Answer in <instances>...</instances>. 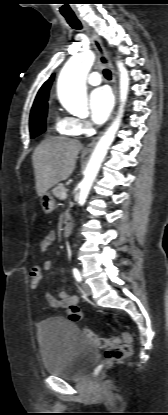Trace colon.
Masks as SVG:
<instances>
[{"instance_id": "colon-1", "label": "colon", "mask_w": 168, "mask_h": 415, "mask_svg": "<svg viewBox=\"0 0 168 415\" xmlns=\"http://www.w3.org/2000/svg\"><path fill=\"white\" fill-rule=\"evenodd\" d=\"M41 268L42 265L40 262H33L28 269V276L30 277V290L33 293L39 292L40 283L44 281ZM84 334L92 343L104 349L103 361L94 369L95 376H98L104 367L124 359L132 351V339L128 333L123 335L125 343H122L119 336L101 337L90 329H85Z\"/></svg>"}]
</instances>
